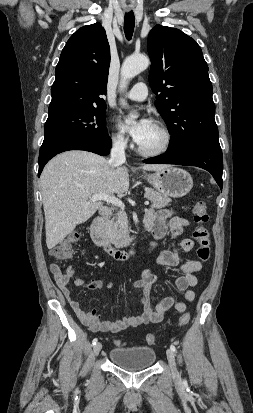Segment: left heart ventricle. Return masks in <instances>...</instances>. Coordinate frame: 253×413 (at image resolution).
I'll return each mask as SVG.
<instances>
[{
    "mask_svg": "<svg viewBox=\"0 0 253 413\" xmlns=\"http://www.w3.org/2000/svg\"><path fill=\"white\" fill-rule=\"evenodd\" d=\"M162 142L163 135L161 131L153 123L151 129L145 135L143 140L139 143V146L147 150H152L158 148L162 144Z\"/></svg>",
    "mask_w": 253,
    "mask_h": 413,
    "instance_id": "obj_1",
    "label": "left heart ventricle"
}]
</instances>
